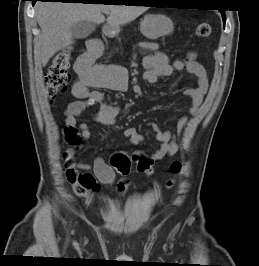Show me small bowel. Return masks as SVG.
Instances as JSON below:
<instances>
[{"label":"small bowel","mask_w":259,"mask_h":266,"mask_svg":"<svg viewBox=\"0 0 259 266\" xmlns=\"http://www.w3.org/2000/svg\"><path fill=\"white\" fill-rule=\"evenodd\" d=\"M99 45L91 43L88 50L79 56L75 65L76 80L71 89L72 95L77 100L68 104L64 111L65 124L68 127L78 128L84 139H89L90 130L86 123L77 125L76 118L87 108L100 104V108L95 115L97 122L103 125H113L120 112V107L111 105L105 101L102 88L122 91L125 90L128 83L126 70L120 66H101L97 65L96 59L101 55V46L99 52H94L92 46ZM156 46H152L155 49ZM145 72L143 78L149 83H155L160 77H168L174 71H183L193 74L196 77L197 84L194 87L185 89L184 94L191 99L189 113L195 115L207 93L209 79L201 63L198 61L182 62L176 60L170 62L168 56L160 51H154L144 56L142 60ZM187 117L181 116L178 119L175 132L161 130L157 123L151 122L150 128L154 131L159 147L151 155L152 161L162 160L173 156L179 150L178 139L186 126ZM124 135L133 145L143 142L144 137L134 128H126ZM73 150H68L69 155H73ZM93 172H90V170ZM66 177L72 185L74 192L87 202L93 200L94 194L100 190L101 185H112L115 181L114 167L105 162L102 157H96L93 165L78 163L66 171ZM129 182L122 179L118 182L117 188L123 193L127 190Z\"/></svg>","instance_id":"small-bowel-1"}]
</instances>
